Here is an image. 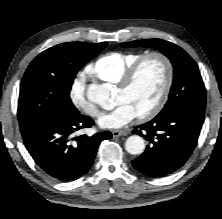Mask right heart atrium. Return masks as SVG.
<instances>
[{
  "instance_id": "right-heart-atrium-1",
  "label": "right heart atrium",
  "mask_w": 222,
  "mask_h": 219,
  "mask_svg": "<svg viewBox=\"0 0 222 219\" xmlns=\"http://www.w3.org/2000/svg\"><path fill=\"white\" fill-rule=\"evenodd\" d=\"M69 97L73 105L91 117L99 116L100 112L97 107L90 102L85 93V80L82 76H76L70 86Z\"/></svg>"
}]
</instances>
